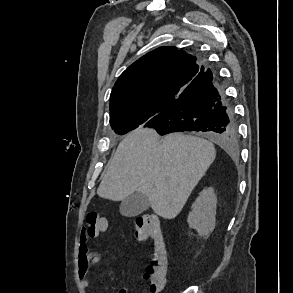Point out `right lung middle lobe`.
Wrapping results in <instances>:
<instances>
[{
    "instance_id": "right-lung-middle-lobe-1",
    "label": "right lung middle lobe",
    "mask_w": 293,
    "mask_h": 293,
    "mask_svg": "<svg viewBox=\"0 0 293 293\" xmlns=\"http://www.w3.org/2000/svg\"><path fill=\"white\" fill-rule=\"evenodd\" d=\"M153 110L140 109L130 113H124L114 117H110V123L115 133L119 135L137 128L141 124H145L153 117Z\"/></svg>"
}]
</instances>
